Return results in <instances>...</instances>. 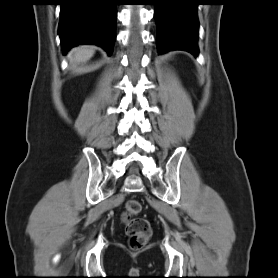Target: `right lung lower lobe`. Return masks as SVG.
<instances>
[{"mask_svg":"<svg viewBox=\"0 0 278 278\" xmlns=\"http://www.w3.org/2000/svg\"><path fill=\"white\" fill-rule=\"evenodd\" d=\"M58 33L63 54L79 44H95L109 54L116 29V0H60Z\"/></svg>","mask_w":278,"mask_h":278,"instance_id":"right-lung-lower-lobe-1","label":"right lung lower lobe"}]
</instances>
